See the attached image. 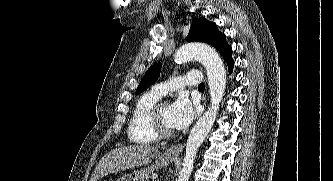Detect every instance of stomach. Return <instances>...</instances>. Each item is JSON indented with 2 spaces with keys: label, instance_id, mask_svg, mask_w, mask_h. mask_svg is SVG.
<instances>
[{
  "label": "stomach",
  "instance_id": "stomach-1",
  "mask_svg": "<svg viewBox=\"0 0 333 181\" xmlns=\"http://www.w3.org/2000/svg\"><path fill=\"white\" fill-rule=\"evenodd\" d=\"M154 157L156 160L152 165L125 174L117 179V181H147L155 169L167 166L175 160L176 155H170L167 153L160 154L158 152Z\"/></svg>",
  "mask_w": 333,
  "mask_h": 181
}]
</instances>
